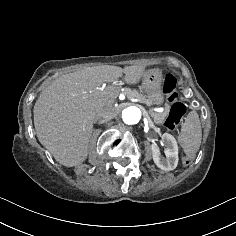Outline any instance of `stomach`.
I'll list each match as a JSON object with an SVG mask.
<instances>
[{
  "instance_id": "0dacf381",
  "label": "stomach",
  "mask_w": 236,
  "mask_h": 236,
  "mask_svg": "<svg viewBox=\"0 0 236 236\" xmlns=\"http://www.w3.org/2000/svg\"><path fill=\"white\" fill-rule=\"evenodd\" d=\"M162 74L158 69H152L144 72L142 78V89L146 92L147 101L160 105L164 102L161 90Z\"/></svg>"
}]
</instances>
